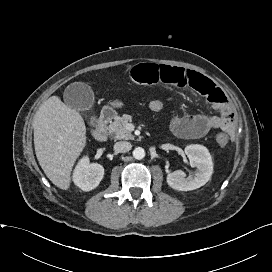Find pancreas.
<instances>
[{"label":"pancreas","instance_id":"pancreas-1","mask_svg":"<svg viewBox=\"0 0 272 272\" xmlns=\"http://www.w3.org/2000/svg\"><path fill=\"white\" fill-rule=\"evenodd\" d=\"M132 121V116L123 114L122 116H116L114 121L108 126L110 135L116 140H129L133 139V135L127 130L126 126Z\"/></svg>","mask_w":272,"mask_h":272}]
</instances>
